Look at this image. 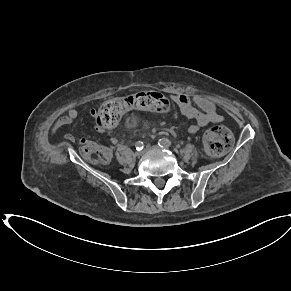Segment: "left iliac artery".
I'll list each match as a JSON object with an SVG mask.
<instances>
[{
  "mask_svg": "<svg viewBox=\"0 0 291 291\" xmlns=\"http://www.w3.org/2000/svg\"><path fill=\"white\" fill-rule=\"evenodd\" d=\"M158 145L160 147H170L172 145V142L169 139L162 138L158 141Z\"/></svg>",
  "mask_w": 291,
  "mask_h": 291,
  "instance_id": "obj_1",
  "label": "left iliac artery"
}]
</instances>
